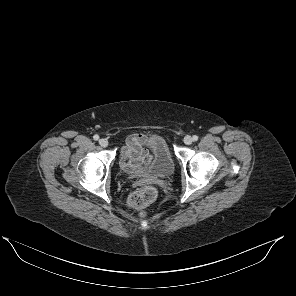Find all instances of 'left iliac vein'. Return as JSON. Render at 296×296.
<instances>
[{"instance_id": "left-iliac-vein-1", "label": "left iliac vein", "mask_w": 296, "mask_h": 296, "mask_svg": "<svg viewBox=\"0 0 296 296\" xmlns=\"http://www.w3.org/2000/svg\"><path fill=\"white\" fill-rule=\"evenodd\" d=\"M192 141H193V139H192L191 136L187 135V136L184 137V143L186 145H190L192 143Z\"/></svg>"}]
</instances>
